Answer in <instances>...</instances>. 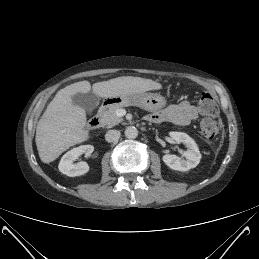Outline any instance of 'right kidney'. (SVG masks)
Instances as JSON below:
<instances>
[{
  "label": "right kidney",
  "instance_id": "ca27d5eb",
  "mask_svg": "<svg viewBox=\"0 0 259 259\" xmlns=\"http://www.w3.org/2000/svg\"><path fill=\"white\" fill-rule=\"evenodd\" d=\"M93 151L94 147L92 145H81L71 149L62 156L58 165L59 171L69 177L86 174L89 171L88 164L83 161L75 164L74 161L82 154L89 157Z\"/></svg>",
  "mask_w": 259,
  "mask_h": 259
}]
</instances>
